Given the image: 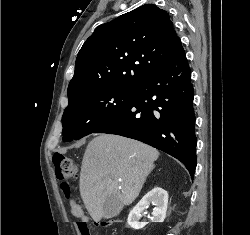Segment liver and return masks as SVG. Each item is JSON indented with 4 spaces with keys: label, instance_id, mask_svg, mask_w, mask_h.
<instances>
[{
    "label": "liver",
    "instance_id": "liver-1",
    "mask_svg": "<svg viewBox=\"0 0 250 235\" xmlns=\"http://www.w3.org/2000/svg\"><path fill=\"white\" fill-rule=\"evenodd\" d=\"M159 152L142 142L113 134H100L86 148L81 172L80 194L95 222L104 217L103 205L109 196L122 206L139 195L154 169Z\"/></svg>",
    "mask_w": 250,
    "mask_h": 235
}]
</instances>
